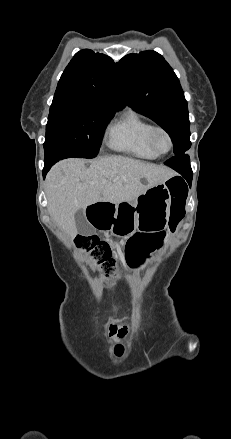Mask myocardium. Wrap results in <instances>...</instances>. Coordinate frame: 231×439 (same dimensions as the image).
Returning a JSON list of instances; mask_svg holds the SVG:
<instances>
[{
    "mask_svg": "<svg viewBox=\"0 0 231 439\" xmlns=\"http://www.w3.org/2000/svg\"><path fill=\"white\" fill-rule=\"evenodd\" d=\"M158 134H162L167 141V148L164 151L159 150L156 146V137ZM149 145L158 156H162L168 154L173 149L174 140L172 134L167 128L157 125L153 126L149 132Z\"/></svg>",
    "mask_w": 231,
    "mask_h": 439,
    "instance_id": "myocardium-1",
    "label": "myocardium"
}]
</instances>
